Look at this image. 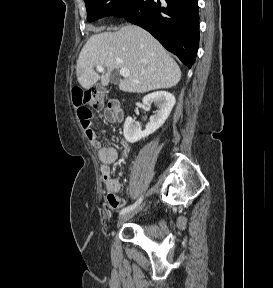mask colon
I'll return each mask as SVG.
<instances>
[{
	"mask_svg": "<svg viewBox=\"0 0 273 288\" xmlns=\"http://www.w3.org/2000/svg\"><path fill=\"white\" fill-rule=\"evenodd\" d=\"M72 100L82 126L85 129L88 128L92 117V110H99L102 106L98 92L96 90L85 91L80 87H74L72 90Z\"/></svg>",
	"mask_w": 273,
	"mask_h": 288,
	"instance_id": "colon-1",
	"label": "colon"
}]
</instances>
